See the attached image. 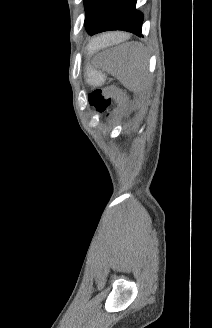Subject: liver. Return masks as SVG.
<instances>
[{"label": "liver", "mask_w": 212, "mask_h": 328, "mask_svg": "<svg viewBox=\"0 0 212 328\" xmlns=\"http://www.w3.org/2000/svg\"><path fill=\"white\" fill-rule=\"evenodd\" d=\"M111 37L117 42L124 41L129 38V35H125L122 33H112Z\"/></svg>", "instance_id": "liver-1"}]
</instances>
